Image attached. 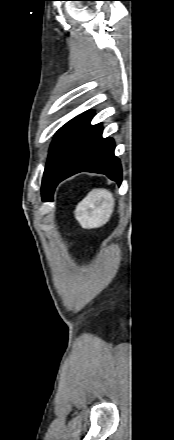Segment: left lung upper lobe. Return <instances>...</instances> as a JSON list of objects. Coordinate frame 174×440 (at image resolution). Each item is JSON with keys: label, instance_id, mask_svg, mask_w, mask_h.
Wrapping results in <instances>:
<instances>
[{"label": "left lung upper lobe", "instance_id": "5c2ea615", "mask_svg": "<svg viewBox=\"0 0 174 440\" xmlns=\"http://www.w3.org/2000/svg\"><path fill=\"white\" fill-rule=\"evenodd\" d=\"M92 115L93 111H90L70 120L55 134L42 180L43 201H47L53 193L54 182L65 166L71 151Z\"/></svg>", "mask_w": 174, "mask_h": 440}]
</instances>
